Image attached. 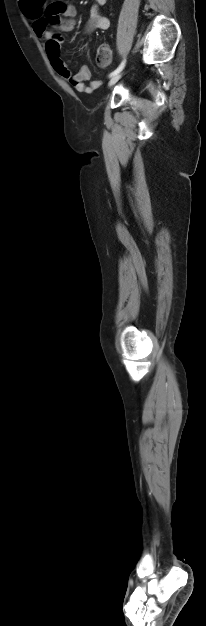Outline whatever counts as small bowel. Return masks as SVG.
I'll return each instance as SVG.
<instances>
[{
	"mask_svg": "<svg viewBox=\"0 0 206 626\" xmlns=\"http://www.w3.org/2000/svg\"><path fill=\"white\" fill-rule=\"evenodd\" d=\"M105 3L106 0L94 1L85 27L86 33L109 28V19L99 12L100 6ZM24 13L33 21V30L37 37L43 40L51 65L64 80L70 83L77 92L92 93L100 87L102 81H91V72L87 66H82L76 73H73L60 55V46L63 41L60 33L70 32L75 27L76 8L73 4L63 1L45 4L38 0L34 6L25 8Z\"/></svg>",
	"mask_w": 206,
	"mask_h": 626,
	"instance_id": "1",
	"label": "small bowel"
}]
</instances>
